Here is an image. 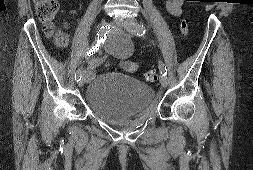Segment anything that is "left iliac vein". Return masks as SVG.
<instances>
[{"label": "left iliac vein", "instance_id": "4c4485c4", "mask_svg": "<svg viewBox=\"0 0 253 170\" xmlns=\"http://www.w3.org/2000/svg\"><path fill=\"white\" fill-rule=\"evenodd\" d=\"M118 23V22H117ZM139 24L137 20L133 18H127L122 22V26L128 31L132 33L133 25ZM160 83L165 88L168 86V78L164 75L160 77Z\"/></svg>", "mask_w": 253, "mask_h": 170}]
</instances>
